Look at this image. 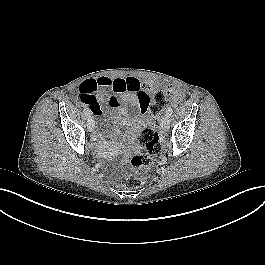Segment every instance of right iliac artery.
Wrapping results in <instances>:
<instances>
[{
	"mask_svg": "<svg viewBox=\"0 0 265 265\" xmlns=\"http://www.w3.org/2000/svg\"><path fill=\"white\" fill-rule=\"evenodd\" d=\"M84 114L87 116V117H90L91 116V112L88 108L84 107Z\"/></svg>",
	"mask_w": 265,
	"mask_h": 265,
	"instance_id": "82829eb1",
	"label": "right iliac artery"
}]
</instances>
